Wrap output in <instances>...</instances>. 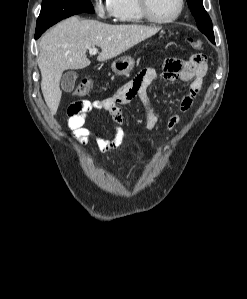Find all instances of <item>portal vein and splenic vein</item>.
Segmentation results:
<instances>
[{
    "label": "portal vein and splenic vein",
    "instance_id": "portal-vein-and-splenic-vein-1",
    "mask_svg": "<svg viewBox=\"0 0 247 299\" xmlns=\"http://www.w3.org/2000/svg\"><path fill=\"white\" fill-rule=\"evenodd\" d=\"M97 52H98V50H97V48H95V47L89 49V53H90L91 55H95Z\"/></svg>",
    "mask_w": 247,
    "mask_h": 299
}]
</instances>
